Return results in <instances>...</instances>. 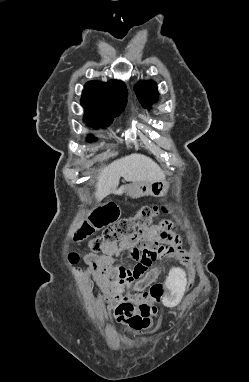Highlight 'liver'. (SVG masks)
Listing matches in <instances>:
<instances>
[{
    "label": "liver",
    "instance_id": "liver-1",
    "mask_svg": "<svg viewBox=\"0 0 249 382\" xmlns=\"http://www.w3.org/2000/svg\"><path fill=\"white\" fill-rule=\"evenodd\" d=\"M136 183H152L162 181L165 174L162 169L149 157L142 154H131L117 159L102 168L97 175V200H101L111 193H115L120 178Z\"/></svg>",
    "mask_w": 249,
    "mask_h": 382
}]
</instances>
